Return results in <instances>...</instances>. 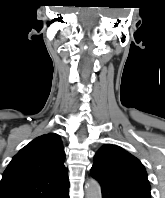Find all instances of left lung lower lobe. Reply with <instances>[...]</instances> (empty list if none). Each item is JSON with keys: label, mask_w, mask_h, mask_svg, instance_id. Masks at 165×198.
<instances>
[{"label": "left lung lower lobe", "mask_w": 165, "mask_h": 198, "mask_svg": "<svg viewBox=\"0 0 165 198\" xmlns=\"http://www.w3.org/2000/svg\"><path fill=\"white\" fill-rule=\"evenodd\" d=\"M99 183L101 185L102 198H135L134 196L126 194L122 191H119V190L115 189L114 187H112V186H110V185H108L104 182L99 181Z\"/></svg>", "instance_id": "left-lung-lower-lobe-1"}]
</instances>
